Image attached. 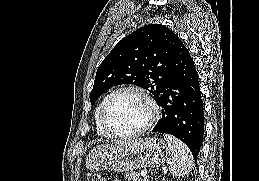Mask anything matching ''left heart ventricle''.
<instances>
[{
    "label": "left heart ventricle",
    "mask_w": 259,
    "mask_h": 181,
    "mask_svg": "<svg viewBox=\"0 0 259 181\" xmlns=\"http://www.w3.org/2000/svg\"><path fill=\"white\" fill-rule=\"evenodd\" d=\"M149 116V107L139 94L123 92L111 102L107 123L114 132L128 133L141 128Z\"/></svg>",
    "instance_id": "b2bd125f"
}]
</instances>
